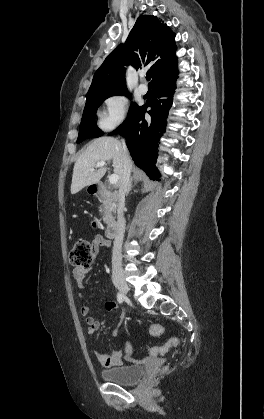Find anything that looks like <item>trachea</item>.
Listing matches in <instances>:
<instances>
[{"label": "trachea", "mask_w": 264, "mask_h": 419, "mask_svg": "<svg viewBox=\"0 0 264 419\" xmlns=\"http://www.w3.org/2000/svg\"><path fill=\"white\" fill-rule=\"evenodd\" d=\"M150 78H151V73H150V72H148V73L146 74V79H147V81H149V80H150Z\"/></svg>", "instance_id": "trachea-1"}]
</instances>
